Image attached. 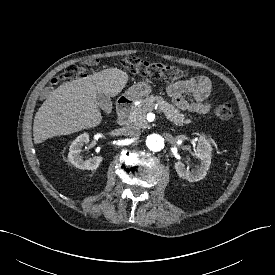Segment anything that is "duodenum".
Instances as JSON below:
<instances>
[{
	"label": "duodenum",
	"instance_id": "1",
	"mask_svg": "<svg viewBox=\"0 0 275 275\" xmlns=\"http://www.w3.org/2000/svg\"><path fill=\"white\" fill-rule=\"evenodd\" d=\"M133 103L131 97H121L117 103V122L120 125H127L130 122V109Z\"/></svg>",
	"mask_w": 275,
	"mask_h": 275
}]
</instances>
